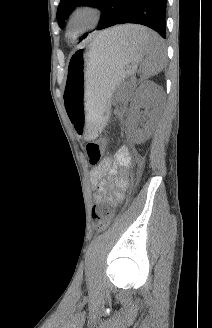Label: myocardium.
Segmentation results:
<instances>
[{"mask_svg":"<svg viewBox=\"0 0 212 328\" xmlns=\"http://www.w3.org/2000/svg\"><path fill=\"white\" fill-rule=\"evenodd\" d=\"M80 16H87L88 22L81 28H76L75 22ZM102 10L93 3H80L75 6L69 14L67 22L68 35L73 37L94 27L101 19Z\"/></svg>","mask_w":212,"mask_h":328,"instance_id":"obj_1","label":"myocardium"}]
</instances>
